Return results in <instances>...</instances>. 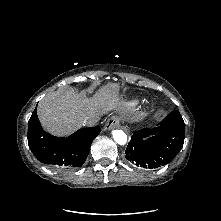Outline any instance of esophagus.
<instances>
[{
    "label": "esophagus",
    "mask_w": 221,
    "mask_h": 221,
    "mask_svg": "<svg viewBox=\"0 0 221 221\" xmlns=\"http://www.w3.org/2000/svg\"><path fill=\"white\" fill-rule=\"evenodd\" d=\"M119 126V118L111 116L104 125V130H111Z\"/></svg>",
    "instance_id": "34e87169"
}]
</instances>
